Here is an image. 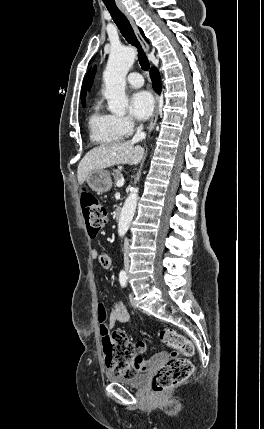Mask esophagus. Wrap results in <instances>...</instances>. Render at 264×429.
Masks as SVG:
<instances>
[{"label":"esophagus","mask_w":264,"mask_h":429,"mask_svg":"<svg viewBox=\"0 0 264 429\" xmlns=\"http://www.w3.org/2000/svg\"><path fill=\"white\" fill-rule=\"evenodd\" d=\"M118 7L124 13V15L127 17V19L129 20V22L133 26L134 31H135V33H136V35H137L140 43L142 44V47H143L144 51L148 52L149 51V46H148L147 42L145 41V39L143 38V36L141 35L139 29L135 25L134 20H133L131 14L128 12V10L126 9V7L123 4L119 3ZM158 114H159V96H158V94L155 93V108H154L153 115H152V117L150 119V122L148 124V128H147L148 132H151L152 129L154 128V126L156 124V121L158 119Z\"/></svg>","instance_id":"esophagus-1"}]
</instances>
